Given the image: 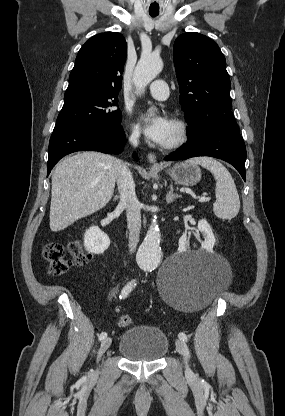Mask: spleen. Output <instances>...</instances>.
Masks as SVG:
<instances>
[{
    "label": "spleen",
    "instance_id": "3e777b00",
    "mask_svg": "<svg viewBox=\"0 0 285 416\" xmlns=\"http://www.w3.org/2000/svg\"><path fill=\"white\" fill-rule=\"evenodd\" d=\"M187 164H199L202 168L209 170L216 182V202L213 212L221 220H232L240 210V200L236 190L235 182L228 170L214 160V158H190Z\"/></svg>",
    "mask_w": 285,
    "mask_h": 416
}]
</instances>
